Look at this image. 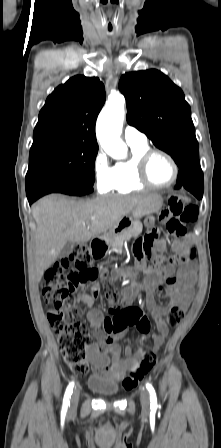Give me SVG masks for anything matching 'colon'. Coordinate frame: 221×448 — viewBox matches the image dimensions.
<instances>
[{"mask_svg": "<svg viewBox=\"0 0 221 448\" xmlns=\"http://www.w3.org/2000/svg\"><path fill=\"white\" fill-rule=\"evenodd\" d=\"M197 208L190 203L188 198L182 195L169 197L168 206L162 213L166 230L178 238H183L187 233V225L197 219ZM152 237L144 239L142 246L137 248V257L140 261L151 256ZM196 256L194 249H188L177 256V262H191ZM98 270L91 266V254L89 246L79 244L74 247L70 255L61 260L54 268L45 273L42 283V297L44 302L51 307L48 314L49 322L59 339L60 349L68 366L78 374H86L89 366L86 360V347L92 337L79 317V311L74 308L77 292L94 284L98 279ZM175 279L166 277V284L172 285ZM107 296L111 302L117 301L114 289L109 285ZM164 294L165 291H162ZM125 320L118 326L106 322L105 329L113 331L125 325L136 326L141 337L139 343L143 345L145 337L151 331V323L146 314L135 306H129L123 310ZM183 316V309L172 307L166 317L169 325H177ZM145 354L135 367L123 380L126 390L135 388L144 376L152 369L156 362L155 352L148 346H143Z\"/></svg>", "mask_w": 221, "mask_h": 448, "instance_id": "obj_1", "label": "colon"}]
</instances>
